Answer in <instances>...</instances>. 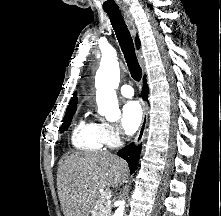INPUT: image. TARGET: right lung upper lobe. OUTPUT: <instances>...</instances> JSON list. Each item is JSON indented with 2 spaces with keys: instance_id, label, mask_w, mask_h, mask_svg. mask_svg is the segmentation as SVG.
<instances>
[{
  "instance_id": "right-lung-upper-lobe-1",
  "label": "right lung upper lobe",
  "mask_w": 221,
  "mask_h": 216,
  "mask_svg": "<svg viewBox=\"0 0 221 216\" xmlns=\"http://www.w3.org/2000/svg\"><path fill=\"white\" fill-rule=\"evenodd\" d=\"M136 44H137V47H139L138 38H136ZM76 104H77V94L74 93V94H73V97L71 98L70 103H69V105H68V107H67L66 114L75 112V110H76Z\"/></svg>"
}]
</instances>
